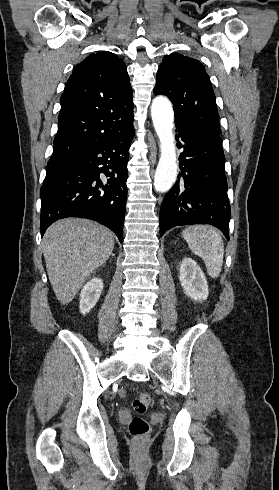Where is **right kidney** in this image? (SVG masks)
Listing matches in <instances>:
<instances>
[{
	"mask_svg": "<svg viewBox=\"0 0 279 490\" xmlns=\"http://www.w3.org/2000/svg\"><path fill=\"white\" fill-rule=\"evenodd\" d=\"M103 290V280L92 278L80 292L79 310L81 314H89L90 310L97 304Z\"/></svg>",
	"mask_w": 279,
	"mask_h": 490,
	"instance_id": "ca27d5eb",
	"label": "right kidney"
}]
</instances>
